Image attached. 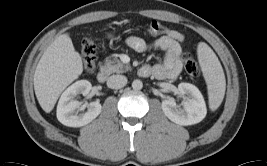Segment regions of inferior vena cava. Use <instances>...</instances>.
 <instances>
[{"mask_svg":"<svg viewBox=\"0 0 267 166\" xmlns=\"http://www.w3.org/2000/svg\"><path fill=\"white\" fill-rule=\"evenodd\" d=\"M127 84V77L124 75H112L107 80V86L112 89H119Z\"/></svg>","mask_w":267,"mask_h":166,"instance_id":"inferior-vena-cava-1","label":"inferior vena cava"}]
</instances>
